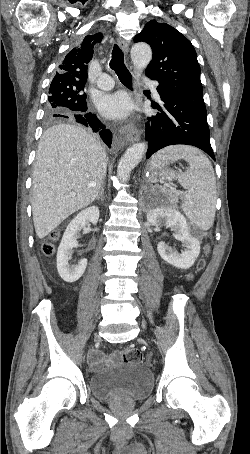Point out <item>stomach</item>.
Here are the masks:
<instances>
[{
    "mask_svg": "<svg viewBox=\"0 0 250 454\" xmlns=\"http://www.w3.org/2000/svg\"><path fill=\"white\" fill-rule=\"evenodd\" d=\"M153 178H159L166 181H171L176 177V173L172 171H159L152 174Z\"/></svg>",
    "mask_w": 250,
    "mask_h": 454,
    "instance_id": "0dacf381",
    "label": "stomach"
}]
</instances>
